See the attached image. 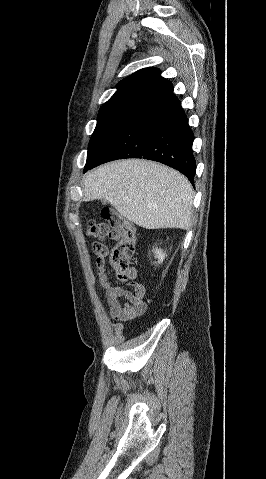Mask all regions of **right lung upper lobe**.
Instances as JSON below:
<instances>
[{"mask_svg":"<svg viewBox=\"0 0 266 479\" xmlns=\"http://www.w3.org/2000/svg\"><path fill=\"white\" fill-rule=\"evenodd\" d=\"M116 93L99 111L106 114L119 111L139 112L158 98L173 91V85L161 76L157 68H144L117 84Z\"/></svg>","mask_w":266,"mask_h":479,"instance_id":"cb5924a9","label":"right lung upper lobe"}]
</instances>
